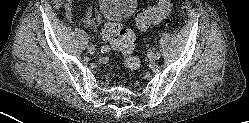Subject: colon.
Listing matches in <instances>:
<instances>
[{"label":"colon","instance_id":"colon-1","mask_svg":"<svg viewBox=\"0 0 249 123\" xmlns=\"http://www.w3.org/2000/svg\"><path fill=\"white\" fill-rule=\"evenodd\" d=\"M173 3L174 0H158L156 5L140 9L135 14L136 26L141 30H146L152 24L159 23L169 15ZM102 35L110 42L113 49L124 55V64L127 69L135 70L139 67V60L133 55L135 37L130 30L120 25L107 23Z\"/></svg>","mask_w":249,"mask_h":123}]
</instances>
